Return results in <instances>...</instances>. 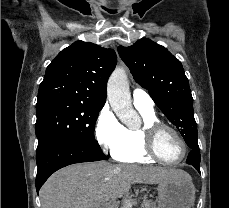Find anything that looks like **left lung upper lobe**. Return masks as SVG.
Here are the masks:
<instances>
[{"label":"left lung upper lobe","instance_id":"1","mask_svg":"<svg viewBox=\"0 0 229 208\" xmlns=\"http://www.w3.org/2000/svg\"><path fill=\"white\" fill-rule=\"evenodd\" d=\"M118 52L135 81L148 90L181 135H198L193 98L181 62L150 39H141L130 47L119 46Z\"/></svg>","mask_w":229,"mask_h":208}]
</instances>
